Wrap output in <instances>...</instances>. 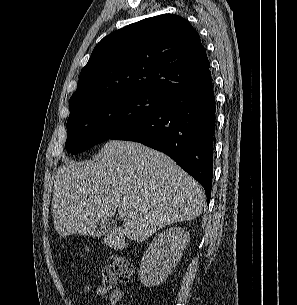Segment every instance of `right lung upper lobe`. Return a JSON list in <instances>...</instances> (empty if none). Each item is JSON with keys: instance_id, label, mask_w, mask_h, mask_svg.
Here are the masks:
<instances>
[{"instance_id": "right-lung-upper-lobe-1", "label": "right lung upper lobe", "mask_w": 297, "mask_h": 305, "mask_svg": "<svg viewBox=\"0 0 297 305\" xmlns=\"http://www.w3.org/2000/svg\"><path fill=\"white\" fill-rule=\"evenodd\" d=\"M209 68L200 37L185 18L173 14L146 18L96 45L70 98V112L121 93L165 97L208 81Z\"/></svg>"}]
</instances>
